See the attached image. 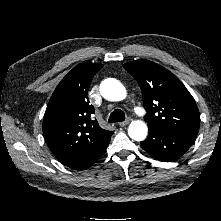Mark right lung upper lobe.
Masks as SVG:
<instances>
[{
	"label": "right lung upper lobe",
	"mask_w": 221,
	"mask_h": 221,
	"mask_svg": "<svg viewBox=\"0 0 221 221\" xmlns=\"http://www.w3.org/2000/svg\"><path fill=\"white\" fill-rule=\"evenodd\" d=\"M102 67L98 63L74 67L56 87L45 111L46 143L55 157L67 166L98 151L113 134L92 119L95 110L87 98L91 81Z\"/></svg>",
	"instance_id": "obj_1"
}]
</instances>
